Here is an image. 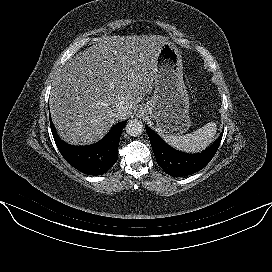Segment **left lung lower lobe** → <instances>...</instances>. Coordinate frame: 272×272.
Listing matches in <instances>:
<instances>
[{
  "mask_svg": "<svg viewBox=\"0 0 272 272\" xmlns=\"http://www.w3.org/2000/svg\"><path fill=\"white\" fill-rule=\"evenodd\" d=\"M158 165L170 176L182 177L203 169L215 155L223 133L205 151L187 154L168 146L154 131L145 127Z\"/></svg>",
  "mask_w": 272,
  "mask_h": 272,
  "instance_id": "obj_1",
  "label": "left lung lower lobe"
}]
</instances>
